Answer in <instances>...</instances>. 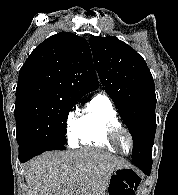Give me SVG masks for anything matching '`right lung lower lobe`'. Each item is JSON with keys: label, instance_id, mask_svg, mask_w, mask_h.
Masks as SVG:
<instances>
[{"label": "right lung lower lobe", "instance_id": "98d812e1", "mask_svg": "<svg viewBox=\"0 0 178 195\" xmlns=\"http://www.w3.org/2000/svg\"><path fill=\"white\" fill-rule=\"evenodd\" d=\"M64 145H50V146H25V147H19V160L24 163L28 161L29 159L33 158L34 156H37L45 151L50 150H65Z\"/></svg>", "mask_w": 178, "mask_h": 195}]
</instances>
